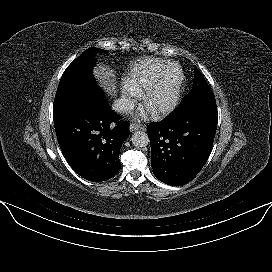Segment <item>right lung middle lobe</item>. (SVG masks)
Wrapping results in <instances>:
<instances>
[{
    "mask_svg": "<svg viewBox=\"0 0 272 272\" xmlns=\"http://www.w3.org/2000/svg\"><path fill=\"white\" fill-rule=\"evenodd\" d=\"M96 52H104V50L99 48L85 50L64 71L54 99L53 118H56L72 99L80 95L98 94L105 96L92 76Z\"/></svg>",
    "mask_w": 272,
    "mask_h": 272,
    "instance_id": "dd1d6c3e",
    "label": "right lung middle lobe"
}]
</instances>
